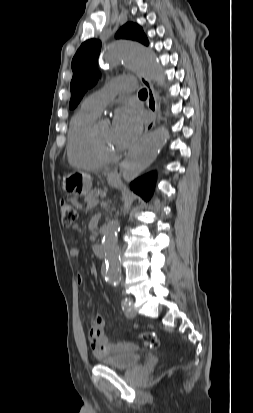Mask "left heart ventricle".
<instances>
[{
    "label": "left heart ventricle",
    "instance_id": "left-heart-ventricle-1",
    "mask_svg": "<svg viewBox=\"0 0 253 413\" xmlns=\"http://www.w3.org/2000/svg\"><path fill=\"white\" fill-rule=\"evenodd\" d=\"M98 138L101 144L110 150H117V146L113 140L112 127L108 123H101L98 127Z\"/></svg>",
    "mask_w": 253,
    "mask_h": 413
}]
</instances>
